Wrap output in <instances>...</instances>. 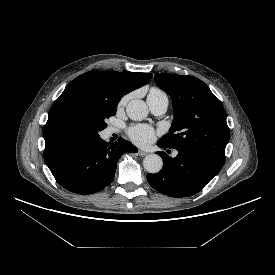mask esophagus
Listing matches in <instances>:
<instances>
[{
    "label": "esophagus",
    "mask_w": 275,
    "mask_h": 275,
    "mask_svg": "<svg viewBox=\"0 0 275 275\" xmlns=\"http://www.w3.org/2000/svg\"><path fill=\"white\" fill-rule=\"evenodd\" d=\"M138 154L143 157V156H146L148 153L146 151L139 150Z\"/></svg>",
    "instance_id": "1"
}]
</instances>
